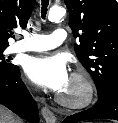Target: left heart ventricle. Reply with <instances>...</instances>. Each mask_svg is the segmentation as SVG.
Returning <instances> with one entry per match:
<instances>
[{"mask_svg":"<svg viewBox=\"0 0 118 123\" xmlns=\"http://www.w3.org/2000/svg\"><path fill=\"white\" fill-rule=\"evenodd\" d=\"M82 92V87L77 82L70 80L68 86L61 92L67 98L77 99Z\"/></svg>","mask_w":118,"mask_h":123,"instance_id":"1","label":"left heart ventricle"}]
</instances>
